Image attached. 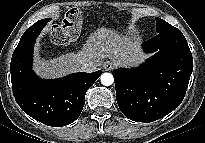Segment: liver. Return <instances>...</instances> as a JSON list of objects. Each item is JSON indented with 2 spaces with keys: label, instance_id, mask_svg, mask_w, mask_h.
<instances>
[{
  "label": "liver",
  "instance_id": "1",
  "mask_svg": "<svg viewBox=\"0 0 205 143\" xmlns=\"http://www.w3.org/2000/svg\"><path fill=\"white\" fill-rule=\"evenodd\" d=\"M140 44L109 28H98L90 34L77 53H67L53 59L37 57L33 69L43 78H58L81 71V62L90 60L100 67L105 59H111L117 66H137L147 58Z\"/></svg>",
  "mask_w": 205,
  "mask_h": 143
}]
</instances>
